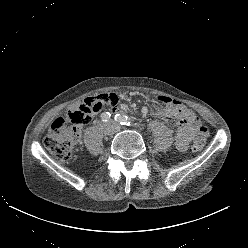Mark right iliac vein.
I'll use <instances>...</instances> for the list:
<instances>
[{
	"instance_id": "1",
	"label": "right iliac vein",
	"mask_w": 248,
	"mask_h": 248,
	"mask_svg": "<svg viewBox=\"0 0 248 248\" xmlns=\"http://www.w3.org/2000/svg\"><path fill=\"white\" fill-rule=\"evenodd\" d=\"M103 131L105 135H112L114 133V127L110 124H105L103 127Z\"/></svg>"
}]
</instances>
